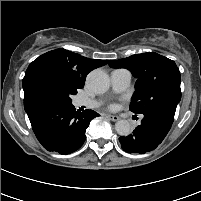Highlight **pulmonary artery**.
Returning <instances> with one entry per match:
<instances>
[{
	"instance_id": "pulmonary-artery-1",
	"label": "pulmonary artery",
	"mask_w": 201,
	"mask_h": 201,
	"mask_svg": "<svg viewBox=\"0 0 201 201\" xmlns=\"http://www.w3.org/2000/svg\"><path fill=\"white\" fill-rule=\"evenodd\" d=\"M131 73L127 69H115L110 74L111 86L115 92H122L126 90L131 83ZM76 106H83L86 108H96L100 102L95 99L80 97L75 101Z\"/></svg>"
}]
</instances>
